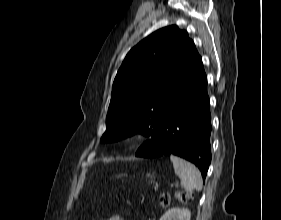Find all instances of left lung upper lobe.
<instances>
[{"instance_id":"5c2ea615","label":"left lung upper lobe","mask_w":281,"mask_h":220,"mask_svg":"<svg viewBox=\"0 0 281 220\" xmlns=\"http://www.w3.org/2000/svg\"><path fill=\"white\" fill-rule=\"evenodd\" d=\"M201 63L187 32L175 25L139 42L126 55L115 77L101 142L137 132L153 138L179 89Z\"/></svg>"}]
</instances>
